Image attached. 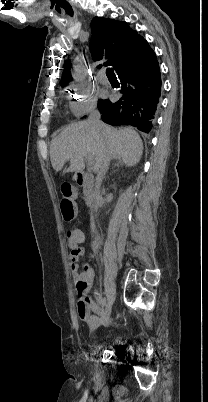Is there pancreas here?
Returning a JSON list of instances; mask_svg holds the SVG:
<instances>
[{
  "instance_id": "obj_1",
  "label": "pancreas",
  "mask_w": 208,
  "mask_h": 402,
  "mask_svg": "<svg viewBox=\"0 0 208 402\" xmlns=\"http://www.w3.org/2000/svg\"><path fill=\"white\" fill-rule=\"evenodd\" d=\"M83 194H84V196H89L90 192H89V190H86V188H84Z\"/></svg>"
}]
</instances>
